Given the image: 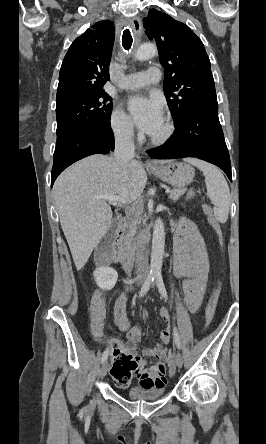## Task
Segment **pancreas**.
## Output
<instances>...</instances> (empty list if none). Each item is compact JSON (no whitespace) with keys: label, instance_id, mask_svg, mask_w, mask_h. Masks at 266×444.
I'll return each instance as SVG.
<instances>
[{"label":"pancreas","instance_id":"obj_1","mask_svg":"<svg viewBox=\"0 0 266 444\" xmlns=\"http://www.w3.org/2000/svg\"><path fill=\"white\" fill-rule=\"evenodd\" d=\"M186 189L184 188H177V189H173L170 192V199H172L174 202L177 201L180 196H182L185 193ZM143 222V224H145V220L143 218H136L133 220V222L131 223L128 233H127V237L130 240H133V237L135 236L136 230H137V224Z\"/></svg>","mask_w":266,"mask_h":444}]
</instances>
